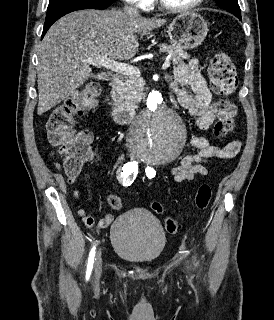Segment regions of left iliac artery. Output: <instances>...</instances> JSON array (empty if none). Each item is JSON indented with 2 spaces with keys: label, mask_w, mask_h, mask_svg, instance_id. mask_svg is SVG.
<instances>
[{
  "label": "left iliac artery",
  "mask_w": 274,
  "mask_h": 320,
  "mask_svg": "<svg viewBox=\"0 0 274 320\" xmlns=\"http://www.w3.org/2000/svg\"><path fill=\"white\" fill-rule=\"evenodd\" d=\"M145 172H146V175H147L148 178H153L156 175V172H155L154 168H152L150 166H148L146 168Z\"/></svg>",
  "instance_id": "1"
}]
</instances>
